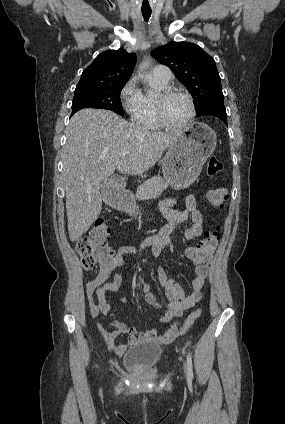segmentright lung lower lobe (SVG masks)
I'll list each match as a JSON object with an SVG mask.
<instances>
[{"label":"right lung lower lobe","mask_w":285,"mask_h":424,"mask_svg":"<svg viewBox=\"0 0 285 424\" xmlns=\"http://www.w3.org/2000/svg\"><path fill=\"white\" fill-rule=\"evenodd\" d=\"M75 112H77V111H72V114H71V116L75 113Z\"/></svg>","instance_id":"right-lung-lower-lobe-1"}]
</instances>
